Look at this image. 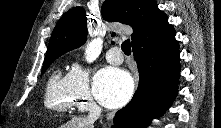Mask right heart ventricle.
Instances as JSON below:
<instances>
[{
  "instance_id": "e07e8e85",
  "label": "right heart ventricle",
  "mask_w": 221,
  "mask_h": 128,
  "mask_svg": "<svg viewBox=\"0 0 221 128\" xmlns=\"http://www.w3.org/2000/svg\"><path fill=\"white\" fill-rule=\"evenodd\" d=\"M45 105L56 113H71L76 107V98L68 74L64 75L60 68L56 69L48 80Z\"/></svg>"
}]
</instances>
